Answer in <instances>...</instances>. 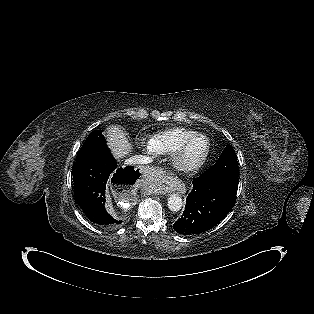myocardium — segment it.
Masks as SVG:
<instances>
[{"mask_svg":"<svg viewBox=\"0 0 314 314\" xmlns=\"http://www.w3.org/2000/svg\"><path fill=\"white\" fill-rule=\"evenodd\" d=\"M202 140L204 142L203 151L197 156L190 155V148L194 142ZM210 153L209 139L197 133L184 141L181 147L172 155V164L175 169L181 172H194L200 169L208 159Z\"/></svg>","mask_w":314,"mask_h":314,"instance_id":"obj_1","label":"myocardium"}]
</instances>
